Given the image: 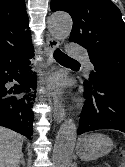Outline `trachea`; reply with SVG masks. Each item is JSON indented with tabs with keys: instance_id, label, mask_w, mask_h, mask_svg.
<instances>
[{
	"instance_id": "obj_1",
	"label": "trachea",
	"mask_w": 125,
	"mask_h": 167,
	"mask_svg": "<svg viewBox=\"0 0 125 167\" xmlns=\"http://www.w3.org/2000/svg\"><path fill=\"white\" fill-rule=\"evenodd\" d=\"M54 58L59 61V62H75L77 63L76 60L70 58L69 56H67L65 53H63L62 51H60L59 49H56L54 51Z\"/></svg>"
}]
</instances>
